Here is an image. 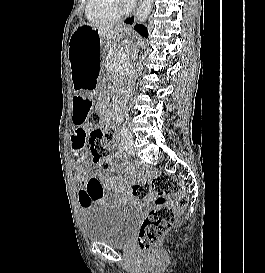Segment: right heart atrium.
Returning a JSON list of instances; mask_svg holds the SVG:
<instances>
[{
    "instance_id": "obj_1",
    "label": "right heart atrium",
    "mask_w": 265,
    "mask_h": 273,
    "mask_svg": "<svg viewBox=\"0 0 265 273\" xmlns=\"http://www.w3.org/2000/svg\"><path fill=\"white\" fill-rule=\"evenodd\" d=\"M121 0H116V2L119 4Z\"/></svg>"
}]
</instances>
